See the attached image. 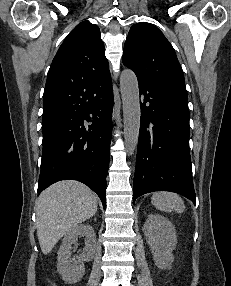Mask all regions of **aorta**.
Here are the masks:
<instances>
[{"label":"aorta","instance_id":"obj_1","mask_svg":"<svg viewBox=\"0 0 231 286\" xmlns=\"http://www.w3.org/2000/svg\"><path fill=\"white\" fill-rule=\"evenodd\" d=\"M120 90L123 103L124 140L129 155L134 154L140 130L139 87L135 73L124 69L120 75Z\"/></svg>","mask_w":231,"mask_h":286}]
</instances>
